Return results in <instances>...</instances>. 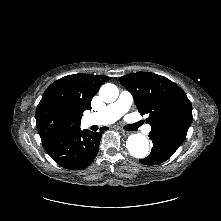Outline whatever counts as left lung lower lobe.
<instances>
[{"mask_svg": "<svg viewBox=\"0 0 221 221\" xmlns=\"http://www.w3.org/2000/svg\"><path fill=\"white\" fill-rule=\"evenodd\" d=\"M153 142L151 153L146 158L140 159L144 165H158L168 160L182 144L183 140L161 131L149 133Z\"/></svg>", "mask_w": 221, "mask_h": 221, "instance_id": "0a47b994", "label": "left lung lower lobe"}]
</instances>
